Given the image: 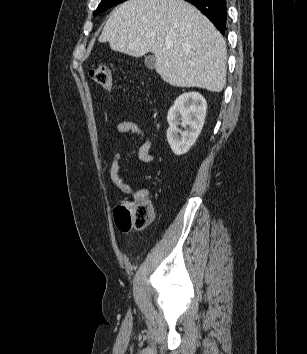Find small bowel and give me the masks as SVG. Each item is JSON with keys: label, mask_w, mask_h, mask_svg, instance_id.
Masks as SVG:
<instances>
[{"label": "small bowel", "mask_w": 307, "mask_h": 354, "mask_svg": "<svg viewBox=\"0 0 307 354\" xmlns=\"http://www.w3.org/2000/svg\"><path fill=\"white\" fill-rule=\"evenodd\" d=\"M116 130L119 133H132L139 136L142 143L138 149V158L145 163L153 162L154 154L151 153L152 142L146 130L136 122L123 121L116 124ZM122 154L117 152L113 155L109 173L112 182L126 195L131 196L134 200L147 199L148 191L146 189H133L127 184L120 174V160Z\"/></svg>", "instance_id": "c3829d8e"}]
</instances>
